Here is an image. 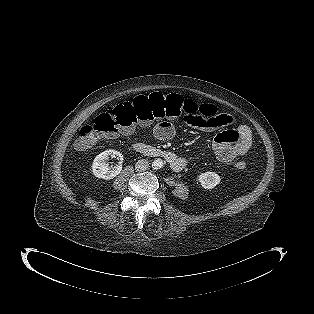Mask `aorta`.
Listing matches in <instances>:
<instances>
[{"instance_id":"1","label":"aorta","mask_w":314,"mask_h":314,"mask_svg":"<svg viewBox=\"0 0 314 314\" xmlns=\"http://www.w3.org/2000/svg\"><path fill=\"white\" fill-rule=\"evenodd\" d=\"M163 160L162 159H156V160H154V162H153V164H152V166H153V168H155V169H159V168H162L163 167Z\"/></svg>"}]
</instances>
